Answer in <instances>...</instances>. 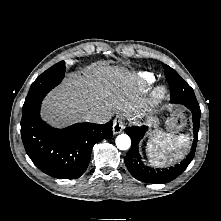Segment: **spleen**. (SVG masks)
<instances>
[{"mask_svg": "<svg viewBox=\"0 0 221 221\" xmlns=\"http://www.w3.org/2000/svg\"><path fill=\"white\" fill-rule=\"evenodd\" d=\"M190 144L189 137L180 134L174 137L170 133L157 131L147 142L146 152L154 166L171 164L182 159Z\"/></svg>", "mask_w": 221, "mask_h": 221, "instance_id": "1", "label": "spleen"}]
</instances>
